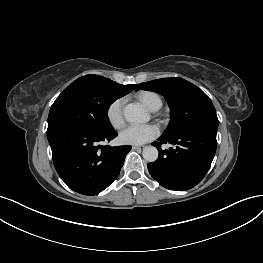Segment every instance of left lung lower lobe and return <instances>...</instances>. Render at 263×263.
I'll list each match as a JSON object with an SVG mask.
<instances>
[{"label":"left lung lower lobe","mask_w":263,"mask_h":263,"mask_svg":"<svg viewBox=\"0 0 263 263\" xmlns=\"http://www.w3.org/2000/svg\"><path fill=\"white\" fill-rule=\"evenodd\" d=\"M215 129H194L173 137L162 136L153 145L159 158L147 165L151 176L163 187L185 191L196 186L206 175L216 152ZM170 143L176 148L162 150L161 144Z\"/></svg>","instance_id":"1"}]
</instances>
